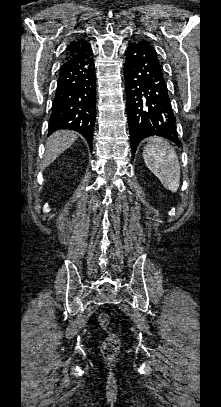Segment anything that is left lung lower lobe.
Wrapping results in <instances>:
<instances>
[{"label": "left lung lower lobe", "instance_id": "1", "mask_svg": "<svg viewBox=\"0 0 221 407\" xmlns=\"http://www.w3.org/2000/svg\"><path fill=\"white\" fill-rule=\"evenodd\" d=\"M124 64L127 117L132 156L140 141L156 135L181 145L176 131L163 66L145 41L128 46Z\"/></svg>", "mask_w": 221, "mask_h": 407}]
</instances>
